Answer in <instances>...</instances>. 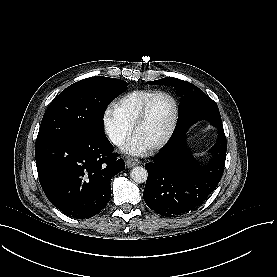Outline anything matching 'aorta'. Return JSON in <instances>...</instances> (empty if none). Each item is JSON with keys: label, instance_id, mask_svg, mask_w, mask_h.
<instances>
[{"label": "aorta", "instance_id": "762f6f07", "mask_svg": "<svg viewBox=\"0 0 277 277\" xmlns=\"http://www.w3.org/2000/svg\"><path fill=\"white\" fill-rule=\"evenodd\" d=\"M130 176L134 182L144 183L147 180L148 173L144 167L136 166L131 170Z\"/></svg>", "mask_w": 277, "mask_h": 277}]
</instances>
